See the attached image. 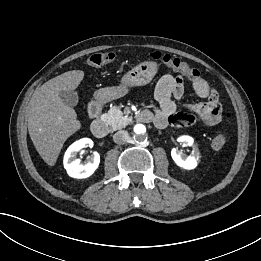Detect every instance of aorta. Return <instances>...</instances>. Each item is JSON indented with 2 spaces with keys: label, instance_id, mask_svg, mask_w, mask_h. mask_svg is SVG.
Instances as JSON below:
<instances>
[{
  "label": "aorta",
  "instance_id": "aorta-1",
  "mask_svg": "<svg viewBox=\"0 0 261 261\" xmlns=\"http://www.w3.org/2000/svg\"><path fill=\"white\" fill-rule=\"evenodd\" d=\"M134 137L138 140H142L146 136V127L142 124H137L133 128Z\"/></svg>",
  "mask_w": 261,
  "mask_h": 261
}]
</instances>
